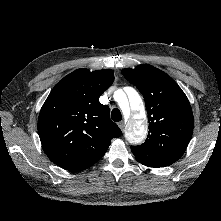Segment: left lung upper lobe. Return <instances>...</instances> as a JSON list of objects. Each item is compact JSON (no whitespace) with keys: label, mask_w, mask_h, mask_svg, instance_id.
Here are the masks:
<instances>
[{"label":"left lung upper lobe","mask_w":221,"mask_h":221,"mask_svg":"<svg viewBox=\"0 0 221 221\" xmlns=\"http://www.w3.org/2000/svg\"><path fill=\"white\" fill-rule=\"evenodd\" d=\"M122 74L143 94L149 118L146 141L131 146L135 159L156 167L171 165L183 155L193 132V113L185 93L166 73L147 64L123 69Z\"/></svg>","instance_id":"obj_1"}]
</instances>
